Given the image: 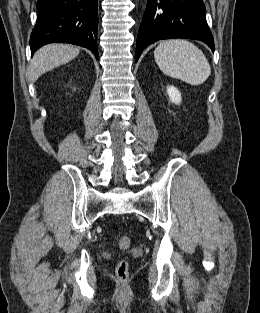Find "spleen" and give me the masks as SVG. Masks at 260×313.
Here are the masks:
<instances>
[{"label":"spleen","instance_id":"1","mask_svg":"<svg viewBox=\"0 0 260 313\" xmlns=\"http://www.w3.org/2000/svg\"><path fill=\"white\" fill-rule=\"evenodd\" d=\"M154 58L165 75L193 86L201 85L211 74L204 53L185 39L160 42L154 51Z\"/></svg>","mask_w":260,"mask_h":313}]
</instances>
